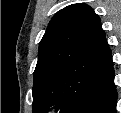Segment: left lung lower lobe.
<instances>
[{"instance_id": "0a47b994", "label": "left lung lower lobe", "mask_w": 121, "mask_h": 113, "mask_svg": "<svg viewBox=\"0 0 121 113\" xmlns=\"http://www.w3.org/2000/svg\"><path fill=\"white\" fill-rule=\"evenodd\" d=\"M117 97L111 58L105 70L80 97L70 113H116Z\"/></svg>"}]
</instances>
